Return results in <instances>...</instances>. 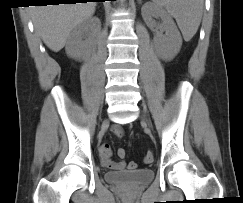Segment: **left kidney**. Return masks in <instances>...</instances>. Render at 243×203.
Masks as SVG:
<instances>
[{
  "mask_svg": "<svg viewBox=\"0 0 243 203\" xmlns=\"http://www.w3.org/2000/svg\"><path fill=\"white\" fill-rule=\"evenodd\" d=\"M141 12L145 23L150 28L156 27L153 17L161 18L162 23L158 25L160 32H156L154 37V48L163 60H172L182 46V38L173 19L162 7L155 3H146ZM163 31H165V35L162 34Z\"/></svg>",
  "mask_w": 243,
  "mask_h": 203,
  "instance_id": "1",
  "label": "left kidney"
}]
</instances>
